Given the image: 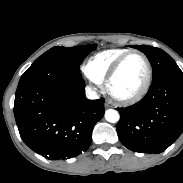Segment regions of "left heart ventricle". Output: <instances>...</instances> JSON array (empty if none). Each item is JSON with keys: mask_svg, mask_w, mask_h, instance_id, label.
Returning a JSON list of instances; mask_svg holds the SVG:
<instances>
[{"mask_svg": "<svg viewBox=\"0 0 183 183\" xmlns=\"http://www.w3.org/2000/svg\"><path fill=\"white\" fill-rule=\"evenodd\" d=\"M146 67L142 58L130 55L121 65L111 81L110 88L118 96H129L136 93L144 83Z\"/></svg>", "mask_w": 183, "mask_h": 183, "instance_id": "b2bd125f", "label": "left heart ventricle"}]
</instances>
